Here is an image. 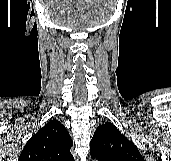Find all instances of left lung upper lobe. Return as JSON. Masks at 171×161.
<instances>
[{"mask_svg": "<svg viewBox=\"0 0 171 161\" xmlns=\"http://www.w3.org/2000/svg\"><path fill=\"white\" fill-rule=\"evenodd\" d=\"M91 158L98 161H144L138 148L111 122L99 126L90 142Z\"/></svg>", "mask_w": 171, "mask_h": 161, "instance_id": "1", "label": "left lung upper lobe"}]
</instances>
